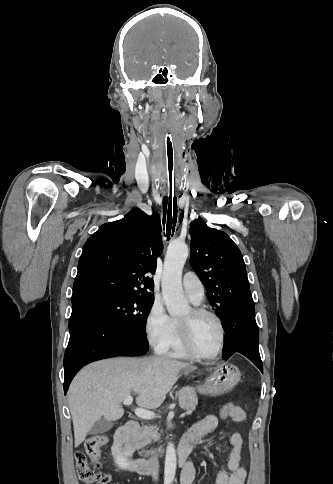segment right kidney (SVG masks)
<instances>
[{
    "mask_svg": "<svg viewBox=\"0 0 333 484\" xmlns=\"http://www.w3.org/2000/svg\"><path fill=\"white\" fill-rule=\"evenodd\" d=\"M115 462L118 465V467H120L121 469H126L127 466L129 465L126 459H124L122 456H117L115 459Z\"/></svg>",
    "mask_w": 333,
    "mask_h": 484,
    "instance_id": "obj_1",
    "label": "right kidney"
}]
</instances>
